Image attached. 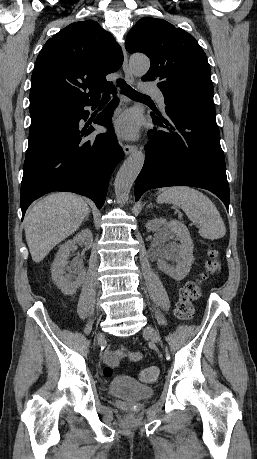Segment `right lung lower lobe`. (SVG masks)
<instances>
[{
  "label": "right lung lower lobe",
  "mask_w": 257,
  "mask_h": 459,
  "mask_svg": "<svg viewBox=\"0 0 257 459\" xmlns=\"http://www.w3.org/2000/svg\"><path fill=\"white\" fill-rule=\"evenodd\" d=\"M98 100L31 114L21 183L22 216L34 200L52 191L87 196L97 208H102L110 175L124 154L110 124L116 99L94 120L96 124L109 127L108 134L89 139L87 136L93 127H79V121L86 120L89 115L84 107L95 108Z\"/></svg>",
  "instance_id": "1"
}]
</instances>
